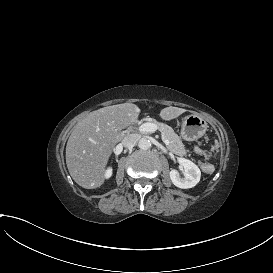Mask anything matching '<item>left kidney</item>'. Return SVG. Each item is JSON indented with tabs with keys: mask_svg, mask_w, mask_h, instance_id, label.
Listing matches in <instances>:
<instances>
[{
	"mask_svg": "<svg viewBox=\"0 0 273 273\" xmlns=\"http://www.w3.org/2000/svg\"><path fill=\"white\" fill-rule=\"evenodd\" d=\"M179 162L185 169L184 176L180 177L179 172L177 170H171L169 172L170 179L172 183L181 189H189L198 184L201 178V171L197 165H195L192 161L180 158Z\"/></svg>",
	"mask_w": 273,
	"mask_h": 273,
	"instance_id": "1",
	"label": "left kidney"
}]
</instances>
